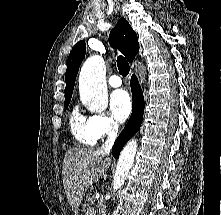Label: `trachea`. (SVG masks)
<instances>
[{
    "label": "trachea",
    "mask_w": 221,
    "mask_h": 215,
    "mask_svg": "<svg viewBox=\"0 0 221 215\" xmlns=\"http://www.w3.org/2000/svg\"><path fill=\"white\" fill-rule=\"evenodd\" d=\"M117 66L119 69V73L125 77L128 75L130 67L128 61L123 56H118L117 58Z\"/></svg>",
    "instance_id": "trachea-1"
}]
</instances>
